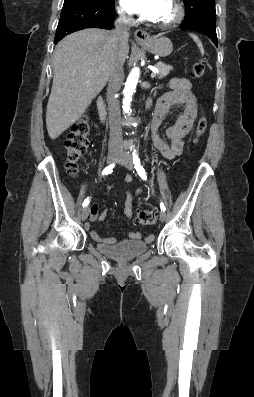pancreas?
I'll list each match as a JSON object with an SVG mask.
<instances>
[{"mask_svg":"<svg viewBox=\"0 0 254 397\" xmlns=\"http://www.w3.org/2000/svg\"><path fill=\"white\" fill-rule=\"evenodd\" d=\"M156 68L158 69V78H164L166 77L170 71L173 69L172 66L166 65L162 62L157 63Z\"/></svg>","mask_w":254,"mask_h":397,"instance_id":"cf45deb5","label":"pancreas"}]
</instances>
